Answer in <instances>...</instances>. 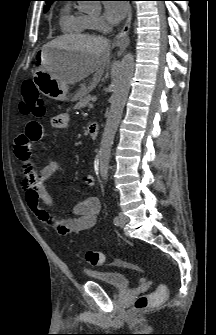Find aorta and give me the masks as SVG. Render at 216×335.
Masks as SVG:
<instances>
[{
	"mask_svg": "<svg viewBox=\"0 0 216 335\" xmlns=\"http://www.w3.org/2000/svg\"><path fill=\"white\" fill-rule=\"evenodd\" d=\"M134 64L133 54L127 53L122 58L115 74L113 93L110 98L111 105L99 149V169L104 180L108 178L112 144L128 97Z\"/></svg>",
	"mask_w": 216,
	"mask_h": 335,
	"instance_id": "762f6f07",
	"label": "aorta"
}]
</instances>
